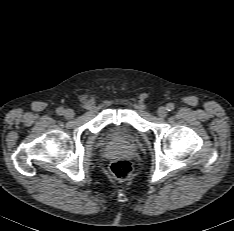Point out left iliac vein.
<instances>
[{"label":"left iliac vein","instance_id":"left-iliac-vein-1","mask_svg":"<svg viewBox=\"0 0 234 231\" xmlns=\"http://www.w3.org/2000/svg\"><path fill=\"white\" fill-rule=\"evenodd\" d=\"M159 115L165 117L167 115V109L165 107H161L159 109Z\"/></svg>","mask_w":234,"mask_h":231}]
</instances>
